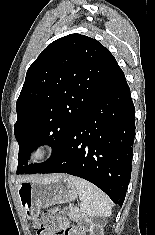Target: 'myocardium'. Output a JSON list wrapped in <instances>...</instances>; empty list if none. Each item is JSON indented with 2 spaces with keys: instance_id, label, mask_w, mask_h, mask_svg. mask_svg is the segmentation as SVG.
<instances>
[{
  "instance_id": "obj_1",
  "label": "myocardium",
  "mask_w": 155,
  "mask_h": 235,
  "mask_svg": "<svg viewBox=\"0 0 155 235\" xmlns=\"http://www.w3.org/2000/svg\"><path fill=\"white\" fill-rule=\"evenodd\" d=\"M57 151V145L53 141H41L35 144L30 150L29 156L35 162L49 160Z\"/></svg>"
}]
</instances>
